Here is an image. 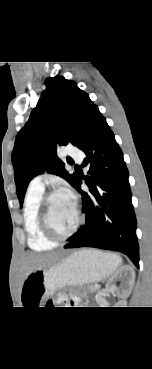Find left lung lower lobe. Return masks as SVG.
Segmentation results:
<instances>
[{"label":"left lung lower lobe","instance_id":"0a47b994","mask_svg":"<svg viewBox=\"0 0 152 369\" xmlns=\"http://www.w3.org/2000/svg\"><path fill=\"white\" fill-rule=\"evenodd\" d=\"M77 147L86 154L83 166L89 167V176L84 178L89 192L81 190L79 177L73 186L82 195L86 220L64 248L85 246L119 251L139 267L129 173L114 134L98 109Z\"/></svg>","mask_w":152,"mask_h":369}]
</instances>
